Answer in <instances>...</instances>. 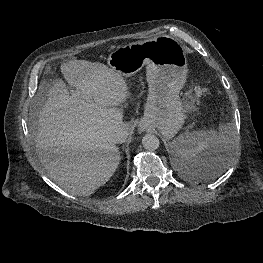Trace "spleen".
<instances>
[{"label":"spleen","mask_w":263,"mask_h":263,"mask_svg":"<svg viewBox=\"0 0 263 263\" xmlns=\"http://www.w3.org/2000/svg\"><path fill=\"white\" fill-rule=\"evenodd\" d=\"M170 145L176 157L181 161L193 159L212 147L219 148L223 154L224 163L216 174L206 178L213 179L222 174L229 165L231 155L238 145V136L235 127L227 123L221 124L218 132L186 131L175 138Z\"/></svg>","instance_id":"obj_1"}]
</instances>
